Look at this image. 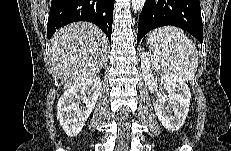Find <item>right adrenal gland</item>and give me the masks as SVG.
<instances>
[{
    "instance_id": "right-adrenal-gland-1",
    "label": "right adrenal gland",
    "mask_w": 231,
    "mask_h": 151,
    "mask_svg": "<svg viewBox=\"0 0 231 151\" xmlns=\"http://www.w3.org/2000/svg\"><path fill=\"white\" fill-rule=\"evenodd\" d=\"M104 66H106V57H105V60H104Z\"/></svg>"
}]
</instances>
